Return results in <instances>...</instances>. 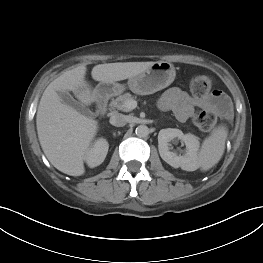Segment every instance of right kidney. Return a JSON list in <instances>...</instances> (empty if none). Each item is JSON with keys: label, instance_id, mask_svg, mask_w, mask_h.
Listing matches in <instances>:
<instances>
[{"label": "right kidney", "instance_id": "1", "mask_svg": "<svg viewBox=\"0 0 263 263\" xmlns=\"http://www.w3.org/2000/svg\"><path fill=\"white\" fill-rule=\"evenodd\" d=\"M108 142L104 138H100L95 143L93 146L89 149L87 155H86V163L90 168L96 167L100 165L108 152Z\"/></svg>", "mask_w": 263, "mask_h": 263}]
</instances>
